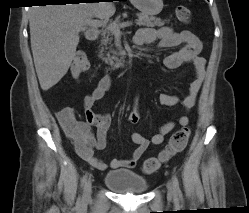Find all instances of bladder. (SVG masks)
<instances>
[{
  "instance_id": "obj_1",
  "label": "bladder",
  "mask_w": 249,
  "mask_h": 213,
  "mask_svg": "<svg viewBox=\"0 0 249 213\" xmlns=\"http://www.w3.org/2000/svg\"><path fill=\"white\" fill-rule=\"evenodd\" d=\"M104 184L107 188L119 193L142 194L149 188L145 177L128 169L108 172L104 177Z\"/></svg>"
}]
</instances>
